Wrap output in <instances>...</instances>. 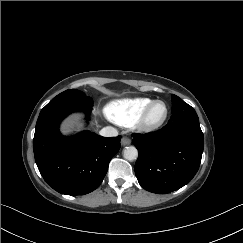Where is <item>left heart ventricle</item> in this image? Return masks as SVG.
Here are the masks:
<instances>
[{"label": "left heart ventricle", "mask_w": 243, "mask_h": 243, "mask_svg": "<svg viewBox=\"0 0 243 243\" xmlns=\"http://www.w3.org/2000/svg\"><path fill=\"white\" fill-rule=\"evenodd\" d=\"M165 114V107L163 104H158L156 105L153 110L151 111L149 115V121L150 122H158L159 120L162 119V117Z\"/></svg>", "instance_id": "1"}]
</instances>
